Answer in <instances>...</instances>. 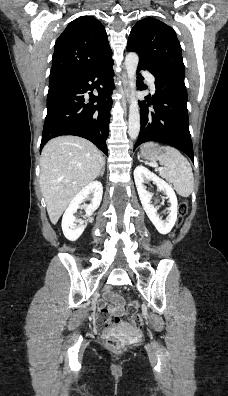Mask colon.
<instances>
[{
	"instance_id": "obj_1",
	"label": "colon",
	"mask_w": 228,
	"mask_h": 396,
	"mask_svg": "<svg viewBox=\"0 0 228 396\" xmlns=\"http://www.w3.org/2000/svg\"><path fill=\"white\" fill-rule=\"evenodd\" d=\"M187 211H188L187 203L182 202L179 206V215H180L179 223L180 224L182 223L183 218L186 216ZM172 237H174V234H172ZM139 308H140V305H139L138 301H136V300L130 301L127 306V311L131 317V321H132L133 325L138 328L143 326V319H142L141 315L139 314ZM101 317L104 318V316H102V315H101ZM117 323H118V318L114 317L112 319L105 321V327L108 329H111ZM107 345L112 350H121L124 346V342L118 336H111L107 340Z\"/></svg>"
}]
</instances>
